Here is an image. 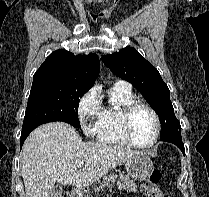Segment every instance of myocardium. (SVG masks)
Wrapping results in <instances>:
<instances>
[{"label":"myocardium","mask_w":209,"mask_h":197,"mask_svg":"<svg viewBox=\"0 0 209 197\" xmlns=\"http://www.w3.org/2000/svg\"><path fill=\"white\" fill-rule=\"evenodd\" d=\"M140 107L146 108L148 111H150L155 121V132H154L153 139L151 140L150 143H147V144H140L136 142L133 138L132 130H131V122H132L133 113ZM121 129H122V133L125 139L130 145L137 147V148H141V149H148V148L153 147L159 139L160 129H161L160 117L157 111L150 104L144 101L135 99L122 109Z\"/></svg>","instance_id":"1"}]
</instances>
